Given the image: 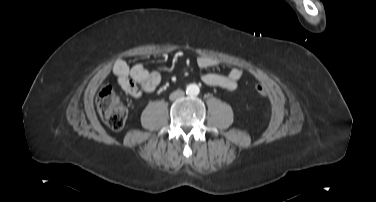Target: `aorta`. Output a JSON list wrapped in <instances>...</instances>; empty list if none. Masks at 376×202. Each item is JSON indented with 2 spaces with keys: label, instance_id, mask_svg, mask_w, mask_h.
Masks as SVG:
<instances>
[{
  "label": "aorta",
  "instance_id": "762f6f07",
  "mask_svg": "<svg viewBox=\"0 0 376 202\" xmlns=\"http://www.w3.org/2000/svg\"><path fill=\"white\" fill-rule=\"evenodd\" d=\"M200 92L199 86L197 84H190L186 88L187 95L196 96Z\"/></svg>",
  "mask_w": 376,
  "mask_h": 202
}]
</instances>
